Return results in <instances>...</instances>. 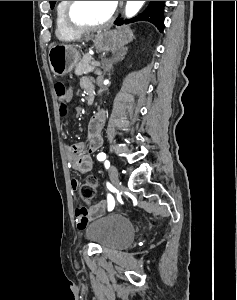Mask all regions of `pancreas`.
<instances>
[{
  "label": "pancreas",
  "instance_id": "obj_1",
  "mask_svg": "<svg viewBox=\"0 0 237 300\" xmlns=\"http://www.w3.org/2000/svg\"><path fill=\"white\" fill-rule=\"evenodd\" d=\"M93 61L94 59H91V55H83L78 65H76L75 75H87V73H91L94 69L92 65Z\"/></svg>",
  "mask_w": 237,
  "mask_h": 300
}]
</instances>
